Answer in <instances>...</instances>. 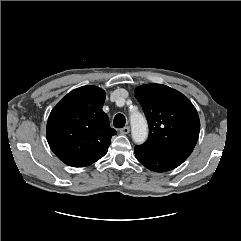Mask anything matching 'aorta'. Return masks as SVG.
<instances>
[{
	"mask_svg": "<svg viewBox=\"0 0 241 241\" xmlns=\"http://www.w3.org/2000/svg\"><path fill=\"white\" fill-rule=\"evenodd\" d=\"M132 139L137 144H142L148 137V125L141 113H133L130 116Z\"/></svg>",
	"mask_w": 241,
	"mask_h": 241,
	"instance_id": "762f6f07",
	"label": "aorta"
}]
</instances>
